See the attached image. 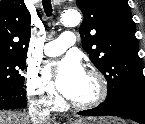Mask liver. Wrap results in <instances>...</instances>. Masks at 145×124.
<instances>
[{
	"label": "liver",
	"instance_id": "liver-1",
	"mask_svg": "<svg viewBox=\"0 0 145 124\" xmlns=\"http://www.w3.org/2000/svg\"><path fill=\"white\" fill-rule=\"evenodd\" d=\"M0 124H32L25 114L11 111H0ZM41 124H50L43 121Z\"/></svg>",
	"mask_w": 145,
	"mask_h": 124
}]
</instances>
